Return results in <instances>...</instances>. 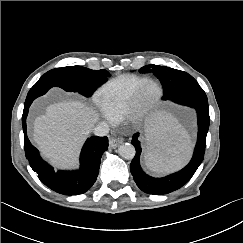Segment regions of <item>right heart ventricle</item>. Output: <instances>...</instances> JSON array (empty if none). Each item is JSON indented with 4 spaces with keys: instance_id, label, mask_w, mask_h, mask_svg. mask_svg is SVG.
Segmentation results:
<instances>
[{
    "instance_id": "e07e8e85",
    "label": "right heart ventricle",
    "mask_w": 243,
    "mask_h": 243,
    "mask_svg": "<svg viewBox=\"0 0 243 243\" xmlns=\"http://www.w3.org/2000/svg\"><path fill=\"white\" fill-rule=\"evenodd\" d=\"M146 80V77L135 74L121 75L100 89L96 95V102L109 118L119 120L124 116L134 93Z\"/></svg>"
}]
</instances>
